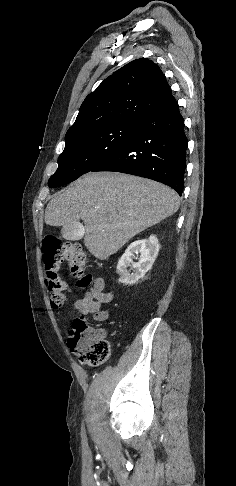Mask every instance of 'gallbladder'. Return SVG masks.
I'll list each match as a JSON object with an SVG mask.
<instances>
[{
  "label": "gallbladder",
  "instance_id": "obj_1",
  "mask_svg": "<svg viewBox=\"0 0 236 486\" xmlns=\"http://www.w3.org/2000/svg\"><path fill=\"white\" fill-rule=\"evenodd\" d=\"M83 225L76 221L62 226L61 234L66 240L75 241L82 238Z\"/></svg>",
  "mask_w": 236,
  "mask_h": 486
}]
</instances>
